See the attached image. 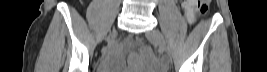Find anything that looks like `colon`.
<instances>
[{"label": "colon", "mask_w": 267, "mask_h": 72, "mask_svg": "<svg viewBox=\"0 0 267 72\" xmlns=\"http://www.w3.org/2000/svg\"><path fill=\"white\" fill-rule=\"evenodd\" d=\"M196 2V11L199 14H205L207 13L210 5V0H197Z\"/></svg>", "instance_id": "5ec220e1"}]
</instances>
